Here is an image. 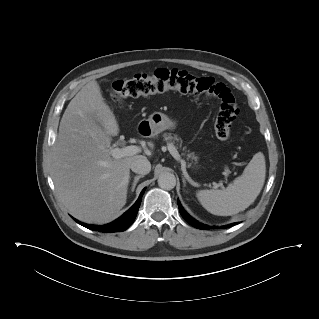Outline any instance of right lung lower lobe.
Here are the masks:
<instances>
[{
	"label": "right lung lower lobe",
	"instance_id": "1",
	"mask_svg": "<svg viewBox=\"0 0 319 319\" xmlns=\"http://www.w3.org/2000/svg\"><path fill=\"white\" fill-rule=\"evenodd\" d=\"M145 189L141 192L138 200L135 202V204L128 210L126 211L120 218L116 219L115 221H113L112 223L103 225V226H96V225H88L85 223H82L80 221L75 220L77 223H79L80 225L91 229V230H97L99 232H103V233H109V232H121L126 230L134 221L139 206L141 204V199L142 196L144 194Z\"/></svg>",
	"mask_w": 319,
	"mask_h": 319
}]
</instances>
